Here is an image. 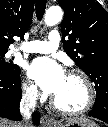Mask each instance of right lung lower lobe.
I'll return each instance as SVG.
<instances>
[{"mask_svg": "<svg viewBox=\"0 0 108 127\" xmlns=\"http://www.w3.org/2000/svg\"><path fill=\"white\" fill-rule=\"evenodd\" d=\"M22 91L20 86V73L15 76H6L0 73V117L21 120L19 103ZM39 113L33 114V122L39 124Z\"/></svg>", "mask_w": 108, "mask_h": 127, "instance_id": "98d812e1", "label": "right lung lower lobe"}]
</instances>
